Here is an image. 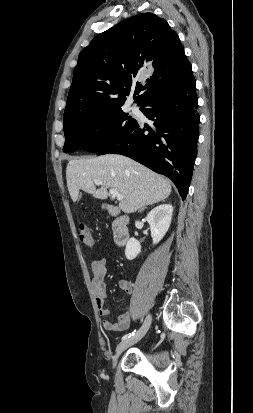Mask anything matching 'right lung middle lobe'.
Masks as SVG:
<instances>
[{
	"mask_svg": "<svg viewBox=\"0 0 253 413\" xmlns=\"http://www.w3.org/2000/svg\"><path fill=\"white\" fill-rule=\"evenodd\" d=\"M137 121L128 117L121 107L101 110L73 117L64 123L63 151L72 153L83 149L98 152L128 132ZM102 129L100 137H90L89 131Z\"/></svg>",
	"mask_w": 253,
	"mask_h": 413,
	"instance_id": "right-lung-middle-lobe-1",
	"label": "right lung middle lobe"
}]
</instances>
